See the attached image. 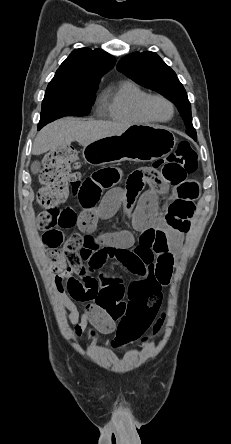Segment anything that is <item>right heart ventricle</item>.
<instances>
[{"label":"right heart ventricle","instance_id":"e07e8e85","mask_svg":"<svg viewBox=\"0 0 231 444\" xmlns=\"http://www.w3.org/2000/svg\"><path fill=\"white\" fill-rule=\"evenodd\" d=\"M148 93L136 82L123 81L116 90L107 93L104 114L110 120L127 124H148L153 122L141 109Z\"/></svg>","mask_w":231,"mask_h":444}]
</instances>
